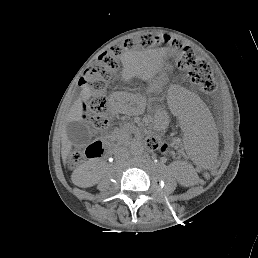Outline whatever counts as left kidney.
Instances as JSON below:
<instances>
[{
  "mask_svg": "<svg viewBox=\"0 0 258 258\" xmlns=\"http://www.w3.org/2000/svg\"><path fill=\"white\" fill-rule=\"evenodd\" d=\"M180 183H181L182 185H186V186L191 185L189 179H187L186 177H184L183 179H181Z\"/></svg>",
  "mask_w": 258,
  "mask_h": 258,
  "instance_id": "obj_1",
  "label": "left kidney"
}]
</instances>
